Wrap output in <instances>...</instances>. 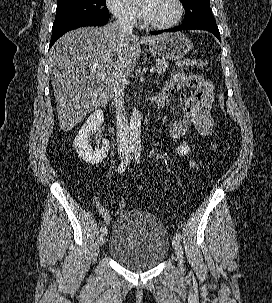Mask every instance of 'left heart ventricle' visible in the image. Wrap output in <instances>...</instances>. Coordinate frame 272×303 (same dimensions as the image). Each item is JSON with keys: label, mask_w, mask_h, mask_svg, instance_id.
<instances>
[{"label": "left heart ventricle", "mask_w": 272, "mask_h": 303, "mask_svg": "<svg viewBox=\"0 0 272 303\" xmlns=\"http://www.w3.org/2000/svg\"><path fill=\"white\" fill-rule=\"evenodd\" d=\"M139 7L146 19L154 24H166L177 14L174 0H140Z\"/></svg>", "instance_id": "1"}]
</instances>
